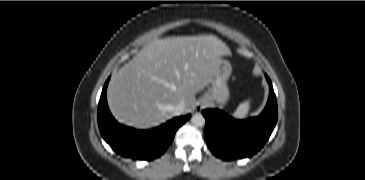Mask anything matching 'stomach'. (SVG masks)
<instances>
[{
	"label": "stomach",
	"mask_w": 365,
	"mask_h": 180,
	"mask_svg": "<svg viewBox=\"0 0 365 180\" xmlns=\"http://www.w3.org/2000/svg\"><path fill=\"white\" fill-rule=\"evenodd\" d=\"M232 72L231 64L224 59H220L215 75L211 81L208 92L205 93L203 99L208 102L216 101L220 105H224L229 99V89L227 80Z\"/></svg>",
	"instance_id": "stomach-1"
}]
</instances>
